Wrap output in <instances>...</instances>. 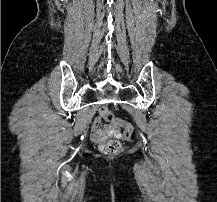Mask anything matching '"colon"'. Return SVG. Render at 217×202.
<instances>
[{
	"mask_svg": "<svg viewBox=\"0 0 217 202\" xmlns=\"http://www.w3.org/2000/svg\"><path fill=\"white\" fill-rule=\"evenodd\" d=\"M99 115L102 119L106 120L107 122H110V126H123L125 130L123 131V137L122 138H116V140H111L107 141L102 144L101 149L104 153L109 154V155H116L117 153L120 152L121 150V141H131L132 140V135L131 133L133 132V127H130L131 125L125 121V118H116V122H111L110 118L114 114H112L109 110L108 107H101L99 110ZM122 139V140H121Z\"/></svg>",
	"mask_w": 217,
	"mask_h": 202,
	"instance_id": "5ec220e1",
	"label": "colon"
}]
</instances>
